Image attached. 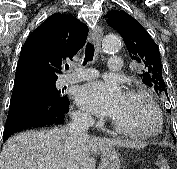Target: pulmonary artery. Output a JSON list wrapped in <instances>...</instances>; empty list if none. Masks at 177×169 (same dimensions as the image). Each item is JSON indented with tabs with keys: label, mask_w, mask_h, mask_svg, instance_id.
I'll return each instance as SVG.
<instances>
[{
	"label": "pulmonary artery",
	"mask_w": 177,
	"mask_h": 169,
	"mask_svg": "<svg viewBox=\"0 0 177 169\" xmlns=\"http://www.w3.org/2000/svg\"><path fill=\"white\" fill-rule=\"evenodd\" d=\"M108 69L110 71L119 72L122 70V61L119 57L108 58ZM97 76V72L93 69L76 68V71L67 75H64L61 79L62 85H68L85 80L93 79Z\"/></svg>",
	"instance_id": "obj_1"
}]
</instances>
